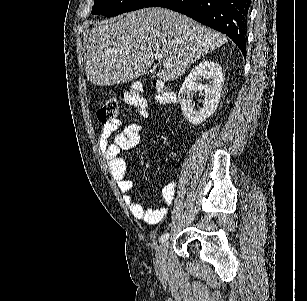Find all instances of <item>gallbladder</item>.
Here are the masks:
<instances>
[{"instance_id": "gallbladder-1", "label": "gallbladder", "mask_w": 307, "mask_h": 301, "mask_svg": "<svg viewBox=\"0 0 307 301\" xmlns=\"http://www.w3.org/2000/svg\"><path fill=\"white\" fill-rule=\"evenodd\" d=\"M150 76H155V70H152V72H150Z\"/></svg>"}]
</instances>
